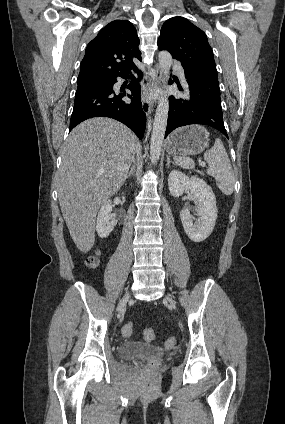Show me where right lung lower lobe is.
<instances>
[{
  "label": "right lung lower lobe",
  "mask_w": 285,
  "mask_h": 424,
  "mask_svg": "<svg viewBox=\"0 0 285 424\" xmlns=\"http://www.w3.org/2000/svg\"><path fill=\"white\" fill-rule=\"evenodd\" d=\"M138 79H133L128 86L131 93H115L113 85L117 82L113 78L106 82L78 86L75 93V103L70 120V131L82 121L92 117H109L116 119L128 126L139 139L143 138L146 126V116L141 106L140 78L142 74L138 69ZM127 75L120 76L127 78ZM129 97L131 103L122 100Z\"/></svg>",
  "instance_id": "1"
}]
</instances>
